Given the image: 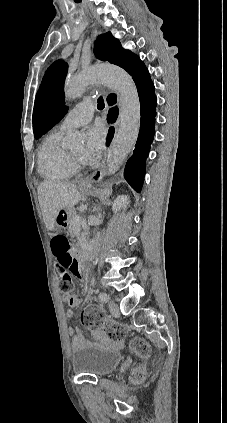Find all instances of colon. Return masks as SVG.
Returning <instances> with one entry per match:
<instances>
[{"mask_svg":"<svg viewBox=\"0 0 227 423\" xmlns=\"http://www.w3.org/2000/svg\"><path fill=\"white\" fill-rule=\"evenodd\" d=\"M51 248L56 259V274L62 292L63 294H70L74 288V278L77 275L78 268L77 260L72 253L71 243L66 235L56 233L51 240ZM81 322L87 329L103 330L114 338H120L125 334L122 326L106 321L102 311L96 306H88L83 310ZM130 348L141 357H145L148 353L147 343L139 338L131 341ZM134 375L140 378L142 372L137 370Z\"/></svg>","mask_w":227,"mask_h":423,"instance_id":"obj_1","label":"colon"}]
</instances>
